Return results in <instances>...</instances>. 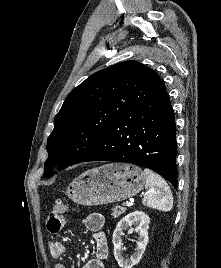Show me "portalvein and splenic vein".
Wrapping results in <instances>:
<instances>
[{
  "label": "portal vein and splenic vein",
  "mask_w": 221,
  "mask_h": 268,
  "mask_svg": "<svg viewBox=\"0 0 221 268\" xmlns=\"http://www.w3.org/2000/svg\"><path fill=\"white\" fill-rule=\"evenodd\" d=\"M132 205H133V201H131V200L124 204V206H126V207H131Z\"/></svg>",
  "instance_id": "1"
}]
</instances>
